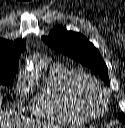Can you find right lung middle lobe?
<instances>
[{
  "mask_svg": "<svg viewBox=\"0 0 125 128\" xmlns=\"http://www.w3.org/2000/svg\"><path fill=\"white\" fill-rule=\"evenodd\" d=\"M17 68L0 67V84L11 85L16 75Z\"/></svg>",
  "mask_w": 125,
  "mask_h": 128,
  "instance_id": "dd1d6c3e",
  "label": "right lung middle lobe"
}]
</instances>
